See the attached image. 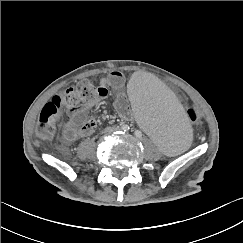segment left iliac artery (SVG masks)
Listing matches in <instances>:
<instances>
[{"instance_id": "44dca946", "label": "left iliac artery", "mask_w": 243, "mask_h": 243, "mask_svg": "<svg viewBox=\"0 0 243 243\" xmlns=\"http://www.w3.org/2000/svg\"><path fill=\"white\" fill-rule=\"evenodd\" d=\"M135 134H136V136H139L140 135V132L139 131H136Z\"/></svg>"}]
</instances>
